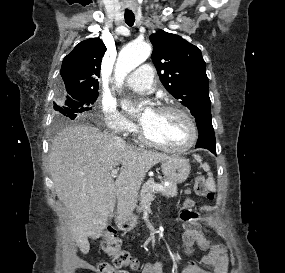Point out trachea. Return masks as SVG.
<instances>
[{"instance_id": "3493384b", "label": "trachea", "mask_w": 285, "mask_h": 273, "mask_svg": "<svg viewBox=\"0 0 285 273\" xmlns=\"http://www.w3.org/2000/svg\"><path fill=\"white\" fill-rule=\"evenodd\" d=\"M124 17H125V22L127 23V25L133 26V24L135 22L134 13L126 11L124 14Z\"/></svg>"}]
</instances>
